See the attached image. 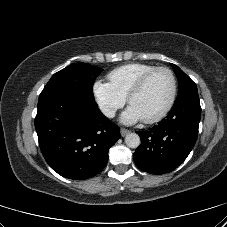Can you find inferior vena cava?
I'll list each match as a JSON object with an SVG mask.
<instances>
[{
	"mask_svg": "<svg viewBox=\"0 0 227 227\" xmlns=\"http://www.w3.org/2000/svg\"><path fill=\"white\" fill-rule=\"evenodd\" d=\"M100 110L107 117L113 118L115 116L116 110L107 105H100Z\"/></svg>",
	"mask_w": 227,
	"mask_h": 227,
	"instance_id": "602c4592",
	"label": "inferior vena cava"
}]
</instances>
